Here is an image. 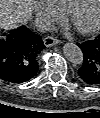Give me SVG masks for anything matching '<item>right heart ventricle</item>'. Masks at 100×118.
I'll list each match as a JSON object with an SVG mask.
<instances>
[{
  "label": "right heart ventricle",
  "mask_w": 100,
  "mask_h": 118,
  "mask_svg": "<svg viewBox=\"0 0 100 118\" xmlns=\"http://www.w3.org/2000/svg\"><path fill=\"white\" fill-rule=\"evenodd\" d=\"M54 5L62 13H67L80 0H52Z\"/></svg>",
  "instance_id": "right-heart-ventricle-1"
}]
</instances>
